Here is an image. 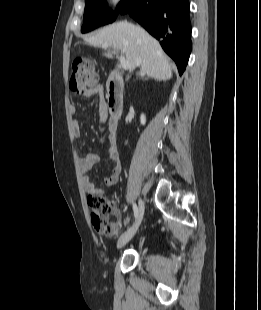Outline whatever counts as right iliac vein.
Wrapping results in <instances>:
<instances>
[{"instance_id":"1","label":"right iliac vein","mask_w":261,"mask_h":310,"mask_svg":"<svg viewBox=\"0 0 261 310\" xmlns=\"http://www.w3.org/2000/svg\"><path fill=\"white\" fill-rule=\"evenodd\" d=\"M144 211H145V204H144V201L140 199L139 200V213H138L137 220L135 224L119 238L117 242L118 249L124 247L133 238L134 234L136 233L142 221Z\"/></svg>"}]
</instances>
